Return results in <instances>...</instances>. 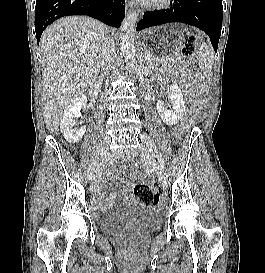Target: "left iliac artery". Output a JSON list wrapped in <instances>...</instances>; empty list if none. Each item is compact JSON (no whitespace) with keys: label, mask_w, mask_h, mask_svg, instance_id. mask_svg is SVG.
<instances>
[{"label":"left iliac artery","mask_w":265,"mask_h":273,"mask_svg":"<svg viewBox=\"0 0 265 273\" xmlns=\"http://www.w3.org/2000/svg\"><path fill=\"white\" fill-rule=\"evenodd\" d=\"M141 140L148 146L149 151L152 152V155L154 156V152H156L158 161L160 163L161 168H164V162L162 160L161 154H159L156 150V146L154 145V142L152 139L147 138L145 135L141 136Z\"/></svg>","instance_id":"1"}]
</instances>
